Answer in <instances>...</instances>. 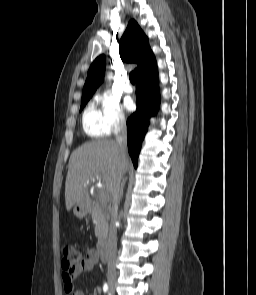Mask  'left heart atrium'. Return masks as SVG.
<instances>
[{"instance_id":"obj_1","label":"left heart atrium","mask_w":256,"mask_h":295,"mask_svg":"<svg viewBox=\"0 0 256 295\" xmlns=\"http://www.w3.org/2000/svg\"><path fill=\"white\" fill-rule=\"evenodd\" d=\"M124 106L127 110L131 111L134 108V102L131 98H126L124 102Z\"/></svg>"}]
</instances>
